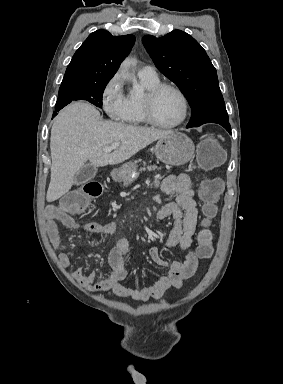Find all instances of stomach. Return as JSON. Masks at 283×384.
I'll return each instance as SVG.
<instances>
[{"instance_id": "obj_1", "label": "stomach", "mask_w": 283, "mask_h": 384, "mask_svg": "<svg viewBox=\"0 0 283 384\" xmlns=\"http://www.w3.org/2000/svg\"><path fill=\"white\" fill-rule=\"evenodd\" d=\"M194 144L188 136L181 132H173L169 136L160 138L155 146V156L170 166H184L192 160L194 154ZM113 178L117 182H123V186H129L138 178L137 166L135 162H127L121 168L114 170Z\"/></svg>"}]
</instances>
